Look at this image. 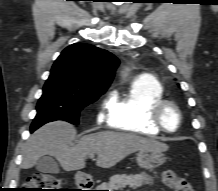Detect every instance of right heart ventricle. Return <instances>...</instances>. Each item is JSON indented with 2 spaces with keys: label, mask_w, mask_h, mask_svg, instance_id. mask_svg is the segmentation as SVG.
Listing matches in <instances>:
<instances>
[{
  "label": "right heart ventricle",
  "mask_w": 218,
  "mask_h": 191,
  "mask_svg": "<svg viewBox=\"0 0 218 191\" xmlns=\"http://www.w3.org/2000/svg\"><path fill=\"white\" fill-rule=\"evenodd\" d=\"M164 99L161 83L155 78H139L133 81L129 92L116 98L108 123L120 131L157 136L160 131L151 123L153 106Z\"/></svg>",
  "instance_id": "right-heart-ventricle-1"
}]
</instances>
